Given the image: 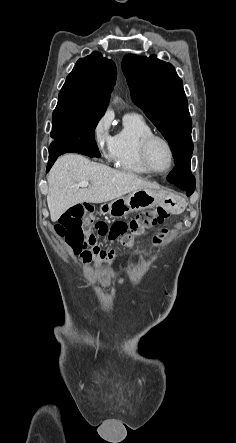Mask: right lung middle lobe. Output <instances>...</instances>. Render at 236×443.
<instances>
[{
	"mask_svg": "<svg viewBox=\"0 0 236 443\" xmlns=\"http://www.w3.org/2000/svg\"><path fill=\"white\" fill-rule=\"evenodd\" d=\"M103 114V111H81L56 107L52 116L51 146L54 144L96 145L95 128Z\"/></svg>",
	"mask_w": 236,
	"mask_h": 443,
	"instance_id": "right-lung-middle-lobe-1",
	"label": "right lung middle lobe"
}]
</instances>
